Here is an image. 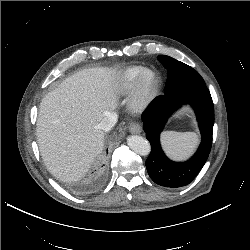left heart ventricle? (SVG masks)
<instances>
[{
	"label": "left heart ventricle",
	"mask_w": 250,
	"mask_h": 250,
	"mask_svg": "<svg viewBox=\"0 0 250 250\" xmlns=\"http://www.w3.org/2000/svg\"><path fill=\"white\" fill-rule=\"evenodd\" d=\"M150 80H151L150 76H147V78H146V84H149Z\"/></svg>",
	"instance_id": "obj_1"
}]
</instances>
